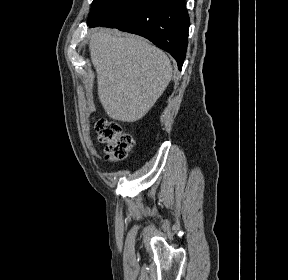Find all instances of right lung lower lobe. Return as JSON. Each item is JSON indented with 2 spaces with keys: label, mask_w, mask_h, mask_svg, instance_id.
<instances>
[{
  "label": "right lung lower lobe",
  "mask_w": 288,
  "mask_h": 280,
  "mask_svg": "<svg viewBox=\"0 0 288 280\" xmlns=\"http://www.w3.org/2000/svg\"><path fill=\"white\" fill-rule=\"evenodd\" d=\"M185 0H117L101 10L90 27L105 26L138 34L169 52L181 70L188 45Z\"/></svg>",
  "instance_id": "right-lung-lower-lobe-1"
}]
</instances>
